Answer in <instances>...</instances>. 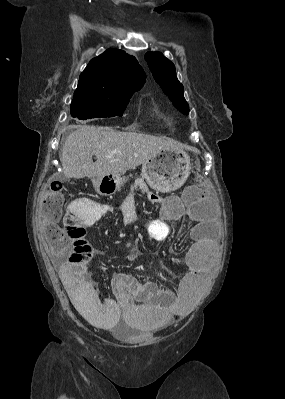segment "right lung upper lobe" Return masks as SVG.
I'll return each instance as SVG.
<instances>
[{"instance_id":"right-lung-upper-lobe-1","label":"right lung upper lobe","mask_w":285,"mask_h":399,"mask_svg":"<svg viewBox=\"0 0 285 399\" xmlns=\"http://www.w3.org/2000/svg\"><path fill=\"white\" fill-rule=\"evenodd\" d=\"M146 79L135 57L119 49H108L93 58L79 77L74 97H109L134 93Z\"/></svg>"}]
</instances>
